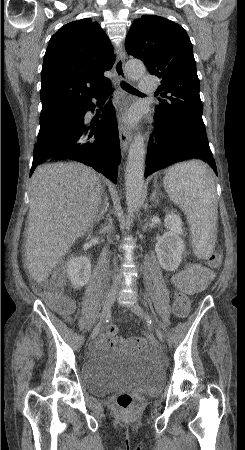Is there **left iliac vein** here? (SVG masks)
Wrapping results in <instances>:
<instances>
[{"instance_id":"left-iliac-vein-1","label":"left iliac vein","mask_w":245,"mask_h":450,"mask_svg":"<svg viewBox=\"0 0 245 450\" xmlns=\"http://www.w3.org/2000/svg\"><path fill=\"white\" fill-rule=\"evenodd\" d=\"M129 308H130L131 311H132L135 315H137L138 317H140V318H145L144 310H143V308H142L138 303L134 302V303L130 304V305H129ZM155 333H156L157 338H158L160 341H163V340H164L163 334H162V332H161V330H160L159 328H155Z\"/></svg>"}]
</instances>
